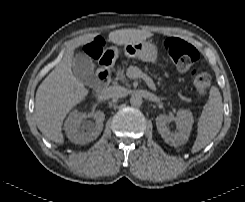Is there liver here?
I'll return each mask as SVG.
<instances>
[{
    "mask_svg": "<svg viewBox=\"0 0 245 202\" xmlns=\"http://www.w3.org/2000/svg\"><path fill=\"white\" fill-rule=\"evenodd\" d=\"M98 34H86L74 38L62 60L43 80L35 97V121L46 138L64 143L62 123L68 112L88 95L89 91L72 72L74 50L93 41ZM152 33L145 30L121 29L109 33L108 39L116 45H126L146 40Z\"/></svg>",
    "mask_w": 245,
    "mask_h": 202,
    "instance_id": "1",
    "label": "liver"
}]
</instances>
